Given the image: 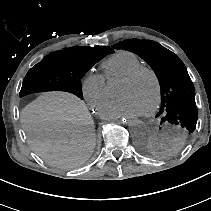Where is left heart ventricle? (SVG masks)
<instances>
[{
	"label": "left heart ventricle",
	"instance_id": "left-heart-ventricle-1",
	"mask_svg": "<svg viewBox=\"0 0 211 211\" xmlns=\"http://www.w3.org/2000/svg\"><path fill=\"white\" fill-rule=\"evenodd\" d=\"M156 86L148 73L140 74L134 81H120L118 95L130 97L144 112L148 110L155 99Z\"/></svg>",
	"mask_w": 211,
	"mask_h": 211
}]
</instances>
